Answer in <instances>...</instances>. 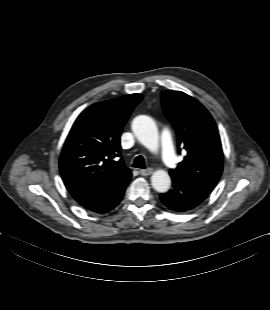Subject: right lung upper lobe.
<instances>
[{
	"label": "right lung upper lobe",
	"instance_id": "1",
	"mask_svg": "<svg viewBox=\"0 0 270 310\" xmlns=\"http://www.w3.org/2000/svg\"><path fill=\"white\" fill-rule=\"evenodd\" d=\"M141 94L95 103L76 119L59 162L64 184L77 200L95 194L131 172L120 155L121 131Z\"/></svg>",
	"mask_w": 270,
	"mask_h": 310
}]
</instances>
